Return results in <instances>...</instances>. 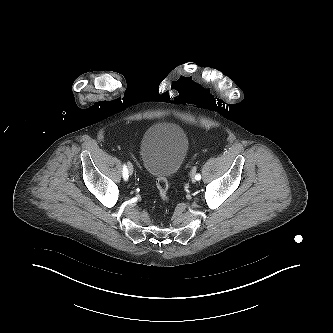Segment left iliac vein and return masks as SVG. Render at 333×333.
Returning <instances> with one entry per match:
<instances>
[{
    "label": "left iliac vein",
    "mask_w": 333,
    "mask_h": 333,
    "mask_svg": "<svg viewBox=\"0 0 333 333\" xmlns=\"http://www.w3.org/2000/svg\"><path fill=\"white\" fill-rule=\"evenodd\" d=\"M192 182H193V183L196 182V178H195L194 174H192Z\"/></svg>",
    "instance_id": "obj_1"
}]
</instances>
